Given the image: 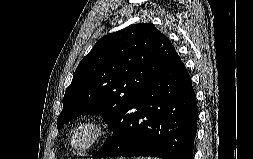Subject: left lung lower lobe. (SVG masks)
Returning a JSON list of instances; mask_svg holds the SVG:
<instances>
[{"label":"left lung lower lobe","instance_id":"left-lung-lower-lobe-1","mask_svg":"<svg viewBox=\"0 0 253 159\" xmlns=\"http://www.w3.org/2000/svg\"><path fill=\"white\" fill-rule=\"evenodd\" d=\"M198 108L178 54L129 107L119 128L93 158L153 156L193 159Z\"/></svg>","mask_w":253,"mask_h":159}]
</instances>
